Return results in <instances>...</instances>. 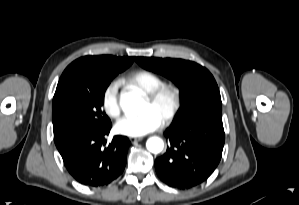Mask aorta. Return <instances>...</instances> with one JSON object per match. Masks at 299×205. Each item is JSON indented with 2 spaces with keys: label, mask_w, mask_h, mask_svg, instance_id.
<instances>
[{
  "label": "aorta",
  "mask_w": 299,
  "mask_h": 205,
  "mask_svg": "<svg viewBox=\"0 0 299 205\" xmlns=\"http://www.w3.org/2000/svg\"><path fill=\"white\" fill-rule=\"evenodd\" d=\"M142 99L136 92H125L121 94L120 106L127 114H137L140 111ZM147 149L154 154L160 153L164 148V142L159 137H150L146 142Z\"/></svg>",
  "instance_id": "1"
}]
</instances>
